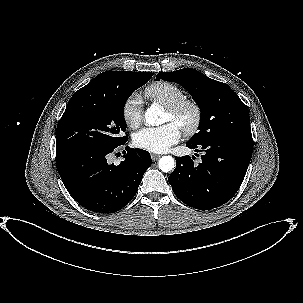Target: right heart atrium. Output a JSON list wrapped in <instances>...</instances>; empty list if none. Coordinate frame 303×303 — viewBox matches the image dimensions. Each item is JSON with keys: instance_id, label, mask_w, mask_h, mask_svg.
Instances as JSON below:
<instances>
[{"instance_id": "right-heart-atrium-1", "label": "right heart atrium", "mask_w": 303, "mask_h": 303, "mask_svg": "<svg viewBox=\"0 0 303 303\" xmlns=\"http://www.w3.org/2000/svg\"><path fill=\"white\" fill-rule=\"evenodd\" d=\"M122 115L130 128H137L143 120L142 99L137 93L130 94L122 105Z\"/></svg>"}]
</instances>
